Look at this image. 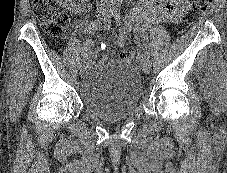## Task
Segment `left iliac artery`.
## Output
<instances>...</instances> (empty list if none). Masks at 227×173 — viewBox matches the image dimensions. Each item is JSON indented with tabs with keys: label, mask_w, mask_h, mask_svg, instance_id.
<instances>
[{
	"label": "left iliac artery",
	"mask_w": 227,
	"mask_h": 173,
	"mask_svg": "<svg viewBox=\"0 0 227 173\" xmlns=\"http://www.w3.org/2000/svg\"><path fill=\"white\" fill-rule=\"evenodd\" d=\"M114 19L116 22V25L119 27V30L122 32V34H126L125 30H123V28L121 27V22H120V12L116 9L114 12ZM149 60L148 54H147V59ZM150 61V60H149Z\"/></svg>",
	"instance_id": "1"
}]
</instances>
